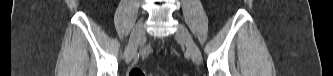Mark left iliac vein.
Instances as JSON below:
<instances>
[{"label": "left iliac vein", "instance_id": "4c4485c4", "mask_svg": "<svg viewBox=\"0 0 333 76\" xmlns=\"http://www.w3.org/2000/svg\"><path fill=\"white\" fill-rule=\"evenodd\" d=\"M176 37L185 44L187 52L190 54L192 60L196 64H200L202 60L201 52L185 26L181 24L177 26Z\"/></svg>", "mask_w": 333, "mask_h": 76}]
</instances>
